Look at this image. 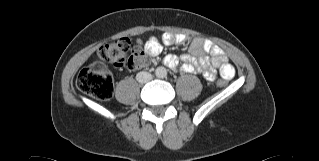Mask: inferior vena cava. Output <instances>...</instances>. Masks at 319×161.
Returning a JSON list of instances; mask_svg holds the SVG:
<instances>
[{
	"label": "inferior vena cava",
	"instance_id": "obj_1",
	"mask_svg": "<svg viewBox=\"0 0 319 161\" xmlns=\"http://www.w3.org/2000/svg\"><path fill=\"white\" fill-rule=\"evenodd\" d=\"M136 80L139 83H147L150 80H152V75L150 73H148V72L141 71V72L137 73Z\"/></svg>",
	"mask_w": 319,
	"mask_h": 161
}]
</instances>
